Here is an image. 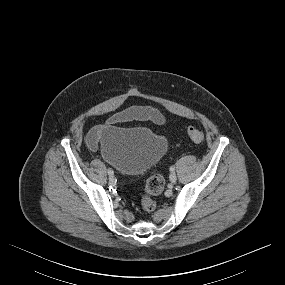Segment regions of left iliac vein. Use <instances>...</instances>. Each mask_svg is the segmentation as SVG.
<instances>
[{
  "instance_id": "4c4485c4",
  "label": "left iliac vein",
  "mask_w": 285,
  "mask_h": 285,
  "mask_svg": "<svg viewBox=\"0 0 285 285\" xmlns=\"http://www.w3.org/2000/svg\"><path fill=\"white\" fill-rule=\"evenodd\" d=\"M169 180L172 182V183H175L177 181V176L175 173H171L169 175Z\"/></svg>"
}]
</instances>
